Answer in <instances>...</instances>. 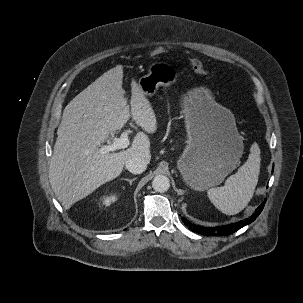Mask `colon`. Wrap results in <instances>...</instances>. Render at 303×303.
<instances>
[{"label":"colon","mask_w":303,"mask_h":303,"mask_svg":"<svg viewBox=\"0 0 303 303\" xmlns=\"http://www.w3.org/2000/svg\"><path fill=\"white\" fill-rule=\"evenodd\" d=\"M166 53V50L164 47H156L153 51H152V57L153 58H159L161 56H163ZM189 65L191 67V69L196 72V73H200V74H207L208 70L207 68L204 66V64L196 58H191L189 60Z\"/></svg>","instance_id":"5ec220e1"}]
</instances>
